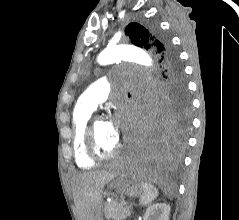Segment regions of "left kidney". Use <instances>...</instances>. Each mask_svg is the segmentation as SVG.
<instances>
[{"label": "left kidney", "mask_w": 239, "mask_h": 220, "mask_svg": "<svg viewBox=\"0 0 239 220\" xmlns=\"http://www.w3.org/2000/svg\"><path fill=\"white\" fill-rule=\"evenodd\" d=\"M171 207L166 203H156L147 208L143 220H169Z\"/></svg>", "instance_id": "obj_1"}]
</instances>
